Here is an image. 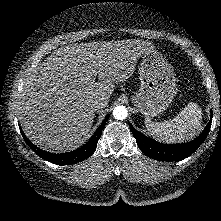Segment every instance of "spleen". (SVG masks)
Segmentation results:
<instances>
[{
    "mask_svg": "<svg viewBox=\"0 0 221 221\" xmlns=\"http://www.w3.org/2000/svg\"><path fill=\"white\" fill-rule=\"evenodd\" d=\"M202 110L198 104L189 102L172 120L154 123L148 117L145 126L150 134L167 143L184 142L192 139L201 126Z\"/></svg>",
    "mask_w": 221,
    "mask_h": 221,
    "instance_id": "obj_1",
    "label": "spleen"
}]
</instances>
